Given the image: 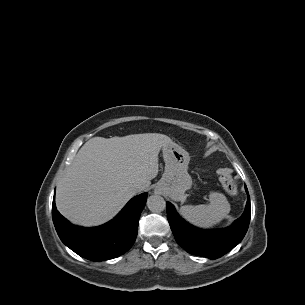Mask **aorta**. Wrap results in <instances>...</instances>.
<instances>
[{
    "label": "aorta",
    "mask_w": 305,
    "mask_h": 305,
    "mask_svg": "<svg viewBox=\"0 0 305 305\" xmlns=\"http://www.w3.org/2000/svg\"><path fill=\"white\" fill-rule=\"evenodd\" d=\"M147 207L154 213H159L165 210L166 202L163 197L159 195H152L147 199Z\"/></svg>",
    "instance_id": "1"
}]
</instances>
